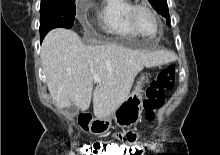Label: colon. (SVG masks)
Here are the masks:
<instances>
[{
    "mask_svg": "<svg viewBox=\"0 0 220 155\" xmlns=\"http://www.w3.org/2000/svg\"><path fill=\"white\" fill-rule=\"evenodd\" d=\"M176 70L168 66L161 70L150 82L145 91L144 108L146 117L153 121L156 111L164 104L165 92L171 90L175 85ZM132 146H106L105 144H87L81 147L85 155H143V151H149V146H143L141 142H132Z\"/></svg>",
    "mask_w": 220,
    "mask_h": 155,
    "instance_id": "colon-1",
    "label": "colon"
}]
</instances>
